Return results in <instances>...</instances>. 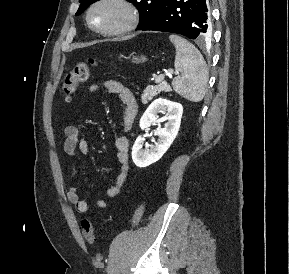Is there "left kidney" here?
Returning <instances> with one entry per match:
<instances>
[{"mask_svg":"<svg viewBox=\"0 0 289 274\" xmlns=\"http://www.w3.org/2000/svg\"><path fill=\"white\" fill-rule=\"evenodd\" d=\"M162 119H158L159 113H166ZM183 107L180 103L172 102L167 99H156L153 101L140 119L141 130L148 129L152 124H158L155 134L158 140L149 148L143 149L144 138L139 136L132 148V159L136 166L147 167L158 161L163 154L171 146L172 142L178 134ZM167 121L164 128L160 127V123Z\"/></svg>","mask_w":289,"mask_h":274,"instance_id":"obj_1","label":"left kidney"}]
</instances>
